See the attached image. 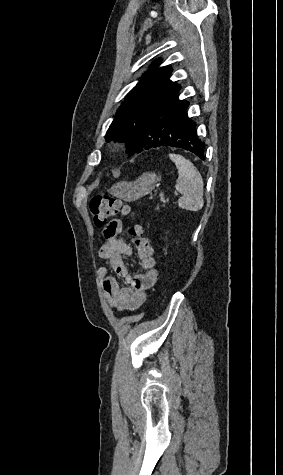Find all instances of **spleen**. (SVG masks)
Returning a JSON list of instances; mask_svg holds the SVG:
<instances>
[{
	"mask_svg": "<svg viewBox=\"0 0 283 475\" xmlns=\"http://www.w3.org/2000/svg\"><path fill=\"white\" fill-rule=\"evenodd\" d=\"M169 158L178 170V180L175 188L177 192L183 194L182 198L178 200L179 208L190 210V212H198L204 206V184L200 172L190 160H185L179 154H169Z\"/></svg>",
	"mask_w": 283,
	"mask_h": 475,
	"instance_id": "obj_1",
	"label": "spleen"
}]
</instances>
